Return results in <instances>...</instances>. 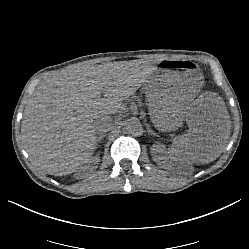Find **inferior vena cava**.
<instances>
[{"mask_svg":"<svg viewBox=\"0 0 249 249\" xmlns=\"http://www.w3.org/2000/svg\"><path fill=\"white\" fill-rule=\"evenodd\" d=\"M94 127L100 133L110 131L113 128L112 119L110 116L100 118L94 122Z\"/></svg>","mask_w":249,"mask_h":249,"instance_id":"602c4592","label":"inferior vena cava"}]
</instances>
